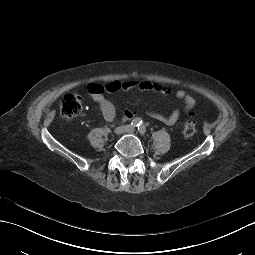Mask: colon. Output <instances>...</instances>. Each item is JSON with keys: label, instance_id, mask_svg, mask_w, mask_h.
Masks as SVG:
<instances>
[{"label": "colon", "instance_id": "obj_1", "mask_svg": "<svg viewBox=\"0 0 255 255\" xmlns=\"http://www.w3.org/2000/svg\"><path fill=\"white\" fill-rule=\"evenodd\" d=\"M83 107V99L79 95H74V94H68L65 95L61 102H60V108H61V113L63 116L67 118H73L78 116ZM197 132V123L194 119L189 118L187 119L182 128V134L190 138L195 133Z\"/></svg>", "mask_w": 255, "mask_h": 255}]
</instances>
